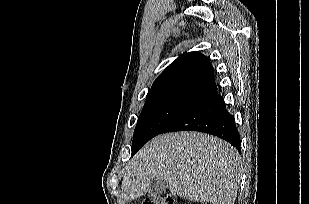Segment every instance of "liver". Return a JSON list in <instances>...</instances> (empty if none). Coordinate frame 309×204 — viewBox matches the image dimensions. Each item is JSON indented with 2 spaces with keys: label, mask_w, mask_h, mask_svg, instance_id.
I'll list each match as a JSON object with an SVG mask.
<instances>
[{
  "label": "liver",
  "mask_w": 309,
  "mask_h": 204,
  "mask_svg": "<svg viewBox=\"0 0 309 204\" xmlns=\"http://www.w3.org/2000/svg\"><path fill=\"white\" fill-rule=\"evenodd\" d=\"M242 176L237 151L226 141L200 132L156 136L130 161L121 183L127 200L148 192L162 177L170 192L194 202L234 204Z\"/></svg>",
  "instance_id": "1"
}]
</instances>
